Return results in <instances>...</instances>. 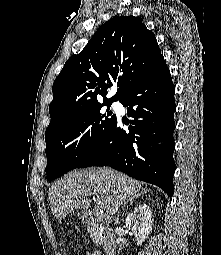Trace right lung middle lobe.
<instances>
[{"mask_svg":"<svg viewBox=\"0 0 221 255\" xmlns=\"http://www.w3.org/2000/svg\"><path fill=\"white\" fill-rule=\"evenodd\" d=\"M111 103L106 101L81 109L45 132L47 180L76 168L95 148L116 120V115L109 111Z\"/></svg>","mask_w":221,"mask_h":255,"instance_id":"obj_1","label":"right lung middle lobe"}]
</instances>
